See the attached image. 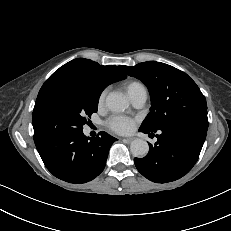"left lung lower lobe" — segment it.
<instances>
[{
	"instance_id": "1",
	"label": "left lung lower lobe",
	"mask_w": 231,
	"mask_h": 231,
	"mask_svg": "<svg viewBox=\"0 0 231 231\" xmlns=\"http://www.w3.org/2000/svg\"><path fill=\"white\" fill-rule=\"evenodd\" d=\"M208 129L207 118L189 117L169 123L152 131L140 127L139 131L153 134L157 142L149 144L144 158H134L138 171L156 183L175 181L186 175L198 160Z\"/></svg>"
}]
</instances>
